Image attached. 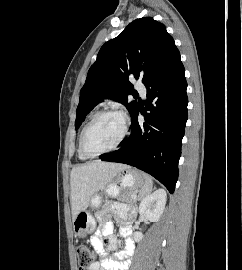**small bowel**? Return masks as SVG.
<instances>
[{
	"label": "small bowel",
	"instance_id": "obj_1",
	"mask_svg": "<svg viewBox=\"0 0 242 270\" xmlns=\"http://www.w3.org/2000/svg\"><path fill=\"white\" fill-rule=\"evenodd\" d=\"M111 211L123 221L120 226V235L125 239L124 249L116 252L113 259L107 257L103 237L106 238V248L109 251H116L118 242L113 234V222L110 219L100 218L99 229L90 239L91 245L99 255V261L94 262L88 270H126L129 267V259L134 250V243L130 237V224L134 217V213L127 206L120 204L113 205Z\"/></svg>",
	"mask_w": 242,
	"mask_h": 270
}]
</instances>
